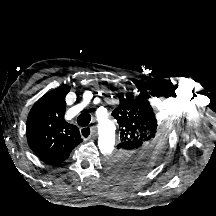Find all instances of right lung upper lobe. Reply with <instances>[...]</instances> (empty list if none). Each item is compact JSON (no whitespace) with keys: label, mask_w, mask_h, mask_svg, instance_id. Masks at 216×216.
<instances>
[{"label":"right lung upper lobe","mask_w":216,"mask_h":216,"mask_svg":"<svg viewBox=\"0 0 216 216\" xmlns=\"http://www.w3.org/2000/svg\"><path fill=\"white\" fill-rule=\"evenodd\" d=\"M70 91L62 85L42 96L29 112L26 136L33 152L46 164L65 161L83 140L77 126L64 119L65 97Z\"/></svg>","instance_id":"1"}]
</instances>
